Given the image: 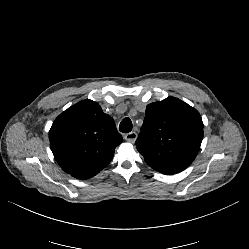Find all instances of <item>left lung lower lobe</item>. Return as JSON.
<instances>
[{"label":"left lung lower lobe","instance_id":"0a47b994","mask_svg":"<svg viewBox=\"0 0 249 249\" xmlns=\"http://www.w3.org/2000/svg\"><path fill=\"white\" fill-rule=\"evenodd\" d=\"M160 173H161V172H160ZM163 174H169V175H170L171 173H163Z\"/></svg>","mask_w":249,"mask_h":249}]
</instances>
